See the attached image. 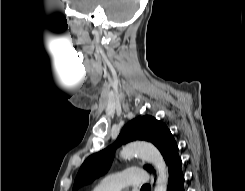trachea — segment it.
<instances>
[{
	"label": "trachea",
	"mask_w": 245,
	"mask_h": 191,
	"mask_svg": "<svg viewBox=\"0 0 245 191\" xmlns=\"http://www.w3.org/2000/svg\"><path fill=\"white\" fill-rule=\"evenodd\" d=\"M150 188V185L146 184L144 186L141 187L142 190H146V189H149Z\"/></svg>",
	"instance_id": "trachea-1"
}]
</instances>
